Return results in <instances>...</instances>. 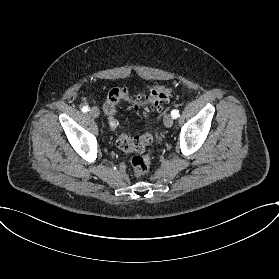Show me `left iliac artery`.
<instances>
[{"label":"left iliac artery","instance_id":"44dca946","mask_svg":"<svg viewBox=\"0 0 279 279\" xmlns=\"http://www.w3.org/2000/svg\"><path fill=\"white\" fill-rule=\"evenodd\" d=\"M171 116L173 117V119H176L178 118L180 115H179V111L178 110H172L171 112Z\"/></svg>","mask_w":279,"mask_h":279}]
</instances>
